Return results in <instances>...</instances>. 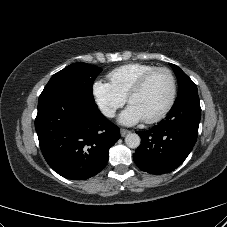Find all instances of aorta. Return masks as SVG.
I'll list each match as a JSON object with an SVG mask.
<instances>
[{"label": "aorta", "instance_id": "aorta-1", "mask_svg": "<svg viewBox=\"0 0 227 227\" xmlns=\"http://www.w3.org/2000/svg\"><path fill=\"white\" fill-rule=\"evenodd\" d=\"M140 137L136 133H129L125 137V143L129 148L135 149L140 145Z\"/></svg>", "mask_w": 227, "mask_h": 227}]
</instances>
